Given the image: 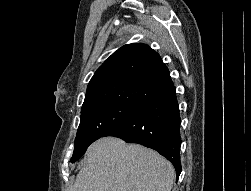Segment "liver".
Instances as JSON below:
<instances>
[{"mask_svg": "<svg viewBox=\"0 0 251 191\" xmlns=\"http://www.w3.org/2000/svg\"><path fill=\"white\" fill-rule=\"evenodd\" d=\"M174 167L157 151L119 137L89 145L73 191H171Z\"/></svg>", "mask_w": 251, "mask_h": 191, "instance_id": "1", "label": "liver"}]
</instances>
